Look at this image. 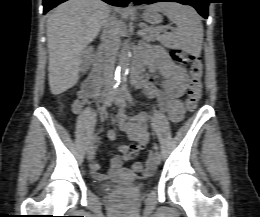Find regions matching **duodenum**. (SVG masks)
Wrapping results in <instances>:
<instances>
[{"instance_id": "410a0bca", "label": "duodenum", "mask_w": 260, "mask_h": 217, "mask_svg": "<svg viewBox=\"0 0 260 217\" xmlns=\"http://www.w3.org/2000/svg\"><path fill=\"white\" fill-rule=\"evenodd\" d=\"M102 74V67L97 66L96 69L89 75L87 80L82 84L81 92L90 95L93 93H98L100 90L99 76ZM143 76V70L141 67L134 64L131 73V83L136 84Z\"/></svg>"}]
</instances>
